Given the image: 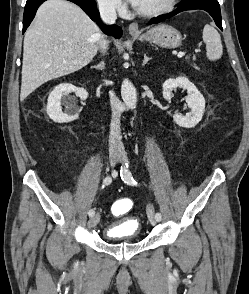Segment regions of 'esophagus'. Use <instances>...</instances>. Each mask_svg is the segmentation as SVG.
Here are the masks:
<instances>
[{
    "mask_svg": "<svg viewBox=\"0 0 249 294\" xmlns=\"http://www.w3.org/2000/svg\"><path fill=\"white\" fill-rule=\"evenodd\" d=\"M128 29H129V33L130 34H138V33H140L139 25L136 22L131 23L129 25V28Z\"/></svg>",
    "mask_w": 249,
    "mask_h": 294,
    "instance_id": "obj_1",
    "label": "esophagus"
}]
</instances>
